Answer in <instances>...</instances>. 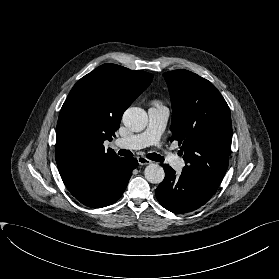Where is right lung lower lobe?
Here are the masks:
<instances>
[{"instance_id": "98d812e1", "label": "right lung lower lobe", "mask_w": 279, "mask_h": 279, "mask_svg": "<svg viewBox=\"0 0 279 279\" xmlns=\"http://www.w3.org/2000/svg\"><path fill=\"white\" fill-rule=\"evenodd\" d=\"M136 158H122L114 167L88 179L70 193L91 208H102L116 202L126 189Z\"/></svg>"}]
</instances>
